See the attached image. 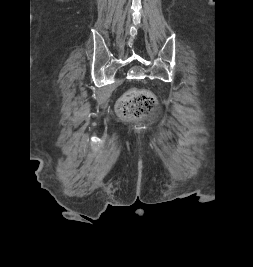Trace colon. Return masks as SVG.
<instances>
[{"label": "colon", "mask_w": 253, "mask_h": 267, "mask_svg": "<svg viewBox=\"0 0 253 267\" xmlns=\"http://www.w3.org/2000/svg\"><path fill=\"white\" fill-rule=\"evenodd\" d=\"M156 106L157 100L151 91L134 88L118 100L117 111L124 119H136L152 113Z\"/></svg>", "instance_id": "colon-1"}]
</instances>
